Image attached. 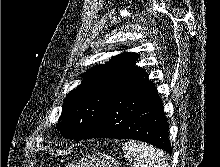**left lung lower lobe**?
I'll return each instance as SVG.
<instances>
[{
    "label": "left lung lower lobe",
    "instance_id": "left-lung-lower-lobe-1",
    "mask_svg": "<svg viewBox=\"0 0 220 167\" xmlns=\"http://www.w3.org/2000/svg\"><path fill=\"white\" fill-rule=\"evenodd\" d=\"M92 138L136 139L171 153L167 118L154 84L142 77L124 88L82 139Z\"/></svg>",
    "mask_w": 220,
    "mask_h": 167
}]
</instances>
